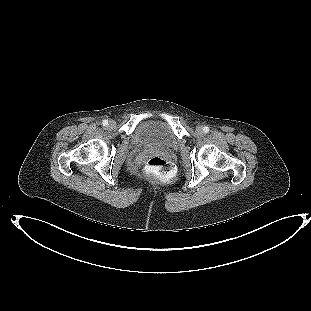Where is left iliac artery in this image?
Instances as JSON below:
<instances>
[{"mask_svg":"<svg viewBox=\"0 0 311 311\" xmlns=\"http://www.w3.org/2000/svg\"><path fill=\"white\" fill-rule=\"evenodd\" d=\"M209 127L208 126H204V128H203V131L205 132V133H208L209 132Z\"/></svg>","mask_w":311,"mask_h":311,"instance_id":"1","label":"left iliac artery"}]
</instances>
